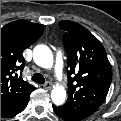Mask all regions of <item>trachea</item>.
<instances>
[{
	"label": "trachea",
	"mask_w": 121,
	"mask_h": 121,
	"mask_svg": "<svg viewBox=\"0 0 121 121\" xmlns=\"http://www.w3.org/2000/svg\"><path fill=\"white\" fill-rule=\"evenodd\" d=\"M32 80L34 82H37V83H40V84H44L45 83V78L43 77L42 74L40 73H35L33 76H32Z\"/></svg>",
	"instance_id": "3493384b"
}]
</instances>
